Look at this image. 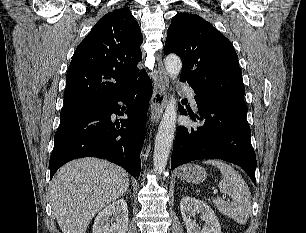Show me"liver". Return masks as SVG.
Here are the masks:
<instances>
[{
  "mask_svg": "<svg viewBox=\"0 0 306 233\" xmlns=\"http://www.w3.org/2000/svg\"><path fill=\"white\" fill-rule=\"evenodd\" d=\"M128 187V173L106 160L82 158L64 165L50 184L53 214L62 233H85L92 218Z\"/></svg>",
  "mask_w": 306,
  "mask_h": 233,
  "instance_id": "liver-1",
  "label": "liver"
}]
</instances>
